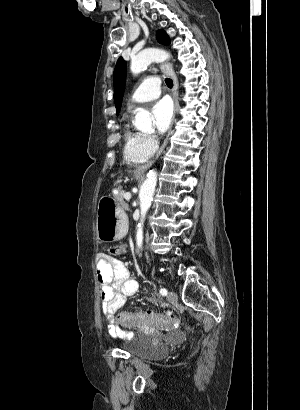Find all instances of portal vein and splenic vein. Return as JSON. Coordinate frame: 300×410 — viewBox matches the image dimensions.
Segmentation results:
<instances>
[{"label":"portal vein and splenic vein","mask_w":300,"mask_h":410,"mask_svg":"<svg viewBox=\"0 0 300 410\" xmlns=\"http://www.w3.org/2000/svg\"><path fill=\"white\" fill-rule=\"evenodd\" d=\"M126 200H130L131 199V193L130 192H126L124 195Z\"/></svg>","instance_id":"18ae733b"}]
</instances>
